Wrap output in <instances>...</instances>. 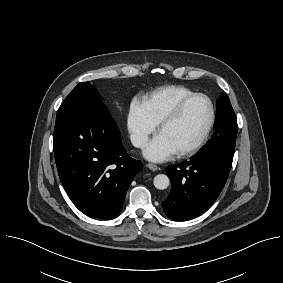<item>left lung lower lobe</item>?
I'll list each match as a JSON object with an SVG mask.
<instances>
[{
  "label": "left lung lower lobe",
  "mask_w": 283,
  "mask_h": 283,
  "mask_svg": "<svg viewBox=\"0 0 283 283\" xmlns=\"http://www.w3.org/2000/svg\"><path fill=\"white\" fill-rule=\"evenodd\" d=\"M233 155L221 148H202L190 161L167 167L172 188L162 202L165 214L173 220L185 221L205 212L226 183Z\"/></svg>",
  "instance_id": "left-lung-lower-lobe-1"
}]
</instances>
